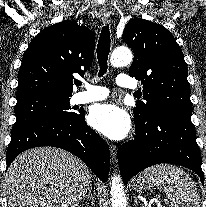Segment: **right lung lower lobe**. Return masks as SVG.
Listing matches in <instances>:
<instances>
[{
  "label": "right lung lower lobe",
  "instance_id": "right-lung-lower-lobe-1",
  "mask_svg": "<svg viewBox=\"0 0 206 207\" xmlns=\"http://www.w3.org/2000/svg\"><path fill=\"white\" fill-rule=\"evenodd\" d=\"M40 146L71 152L85 162L100 180L107 181L109 146L86 124L83 112L76 117L43 119L13 127L6 155L7 168L20 153Z\"/></svg>",
  "mask_w": 206,
  "mask_h": 207
}]
</instances>
